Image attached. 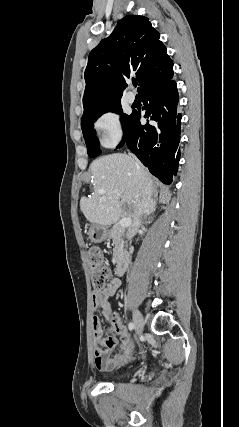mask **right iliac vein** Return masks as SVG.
Masks as SVG:
<instances>
[{
    "instance_id": "63e3f726",
    "label": "right iliac vein",
    "mask_w": 239,
    "mask_h": 427,
    "mask_svg": "<svg viewBox=\"0 0 239 427\" xmlns=\"http://www.w3.org/2000/svg\"><path fill=\"white\" fill-rule=\"evenodd\" d=\"M133 321L137 334H140L144 327V318L139 310L135 309L133 311Z\"/></svg>"
}]
</instances>
